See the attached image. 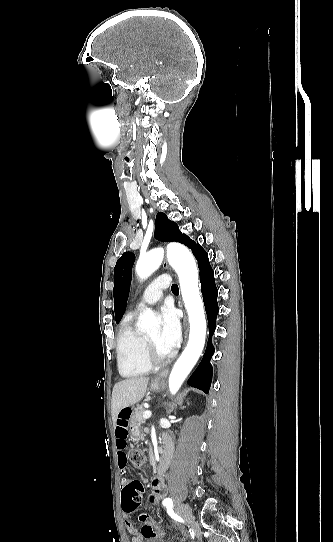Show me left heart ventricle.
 Masks as SVG:
<instances>
[{
    "mask_svg": "<svg viewBox=\"0 0 333 542\" xmlns=\"http://www.w3.org/2000/svg\"><path fill=\"white\" fill-rule=\"evenodd\" d=\"M150 342L152 343L154 349H155V352L157 353V355L159 357H167L169 356V352L166 350V348L164 346H162L159 342L160 340V333L159 332H155V333H152L148 336H146Z\"/></svg>",
    "mask_w": 333,
    "mask_h": 542,
    "instance_id": "left-heart-ventricle-1",
    "label": "left heart ventricle"
}]
</instances>
